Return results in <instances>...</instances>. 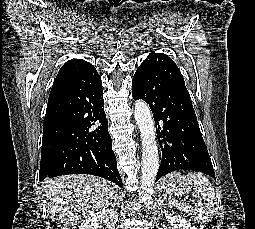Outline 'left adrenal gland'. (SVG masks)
<instances>
[{
	"label": "left adrenal gland",
	"mask_w": 255,
	"mask_h": 229,
	"mask_svg": "<svg viewBox=\"0 0 255 229\" xmlns=\"http://www.w3.org/2000/svg\"><path fill=\"white\" fill-rule=\"evenodd\" d=\"M158 205L159 206L163 205L164 208L166 207V204L163 202V200H160V199H159Z\"/></svg>",
	"instance_id": "left-adrenal-gland-1"
}]
</instances>
